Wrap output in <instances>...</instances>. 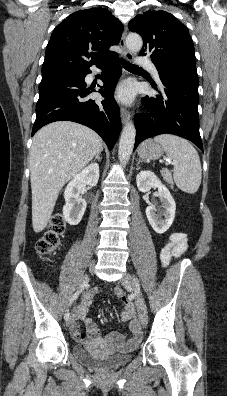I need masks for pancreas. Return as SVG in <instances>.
<instances>
[{
	"label": "pancreas",
	"instance_id": "pancreas-1",
	"mask_svg": "<svg viewBox=\"0 0 227 396\" xmlns=\"http://www.w3.org/2000/svg\"><path fill=\"white\" fill-rule=\"evenodd\" d=\"M164 180H165L168 184H170L171 188H173V180H172V177H171L169 174H166V175L164 176Z\"/></svg>",
	"mask_w": 227,
	"mask_h": 396
}]
</instances>
